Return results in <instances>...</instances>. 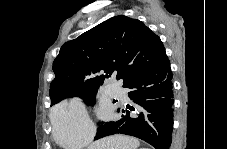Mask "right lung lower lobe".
<instances>
[{
	"label": "right lung lower lobe",
	"mask_w": 227,
	"mask_h": 149,
	"mask_svg": "<svg viewBox=\"0 0 227 149\" xmlns=\"http://www.w3.org/2000/svg\"><path fill=\"white\" fill-rule=\"evenodd\" d=\"M123 87L131 89L128 96L137 104L136 109L127 107L122 110L121 120L100 125L95 140L126 134L138 137L156 149H169L173 130V83L168 58L133 77ZM130 111L135 114L130 116Z\"/></svg>",
	"instance_id": "1"
}]
</instances>
